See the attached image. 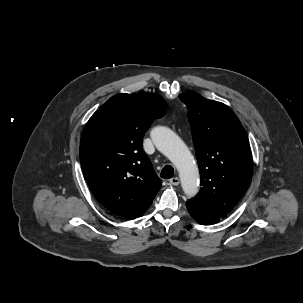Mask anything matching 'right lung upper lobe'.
Returning a JSON list of instances; mask_svg holds the SVG:
<instances>
[{"label": "right lung upper lobe", "mask_w": 303, "mask_h": 303, "mask_svg": "<svg viewBox=\"0 0 303 303\" xmlns=\"http://www.w3.org/2000/svg\"><path fill=\"white\" fill-rule=\"evenodd\" d=\"M166 113L155 93L117 94L89 119L80 141V161L96 199L125 219L141 216L162 182L142 150L145 132Z\"/></svg>", "instance_id": "right-lung-upper-lobe-1"}]
</instances>
